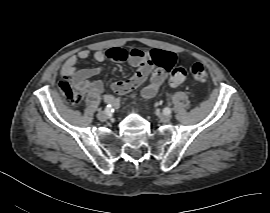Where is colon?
<instances>
[{
  "mask_svg": "<svg viewBox=\"0 0 270 213\" xmlns=\"http://www.w3.org/2000/svg\"><path fill=\"white\" fill-rule=\"evenodd\" d=\"M138 55H145L153 64H157L167 69L170 72L169 82L171 85L176 86L184 81V69L181 67H174V58L169 52L155 51L150 54L144 50L132 48L129 50L115 49L112 53L113 59L118 62L126 61L129 57ZM139 73L142 77L149 76L151 73V66L145 65L141 67ZM191 73L193 78L198 82H205L208 78L207 69L201 63H194L191 66ZM60 89L70 106L76 107L81 104L82 99L76 95L66 83H61Z\"/></svg>",
  "mask_w": 270,
  "mask_h": 213,
  "instance_id": "5ec220e1",
  "label": "colon"
}]
</instances>
